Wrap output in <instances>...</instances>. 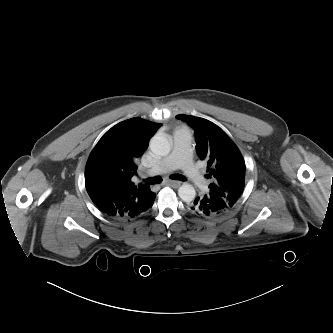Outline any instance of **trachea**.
Here are the masks:
<instances>
[{
  "label": "trachea",
  "mask_w": 333,
  "mask_h": 333,
  "mask_svg": "<svg viewBox=\"0 0 333 333\" xmlns=\"http://www.w3.org/2000/svg\"><path fill=\"white\" fill-rule=\"evenodd\" d=\"M170 179H173V180H179V181H186V178L181 175V174H172L170 176ZM145 183L147 184H159L162 182V178L159 177V176H155V177H151V178H148L146 180H144Z\"/></svg>",
  "instance_id": "trachea-1"
}]
</instances>
